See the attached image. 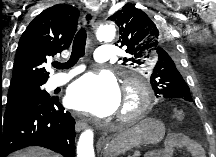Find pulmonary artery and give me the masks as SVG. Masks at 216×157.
Here are the masks:
<instances>
[{"label":"pulmonary artery","mask_w":216,"mask_h":157,"mask_svg":"<svg viewBox=\"0 0 216 157\" xmlns=\"http://www.w3.org/2000/svg\"><path fill=\"white\" fill-rule=\"evenodd\" d=\"M112 56L113 53L111 46L108 45L100 46L94 52V59L98 62H107L112 58ZM82 71V67H76L71 69L67 73L57 74L50 79L48 86L51 89L61 86L68 82L73 76Z\"/></svg>","instance_id":"pulmonary-artery-1"}]
</instances>
